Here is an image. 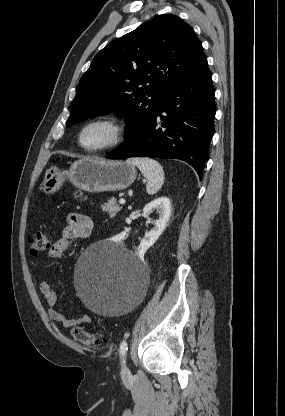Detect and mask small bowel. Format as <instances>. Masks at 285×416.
I'll return each mask as SVG.
<instances>
[{"label":"small bowel","instance_id":"small-bowel-1","mask_svg":"<svg viewBox=\"0 0 285 416\" xmlns=\"http://www.w3.org/2000/svg\"><path fill=\"white\" fill-rule=\"evenodd\" d=\"M92 230L93 221L90 217L80 213H71L67 219V226L63 229L60 238L49 247L48 255L51 258H61L71 241L88 238ZM40 291L49 306L47 313L51 321L60 323L65 328L90 322L91 319L87 314H81L76 318H67L56 310L58 295L47 281H41Z\"/></svg>","mask_w":285,"mask_h":416}]
</instances>
